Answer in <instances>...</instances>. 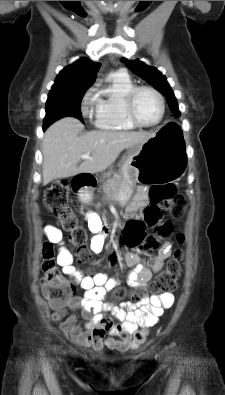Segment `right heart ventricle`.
<instances>
[{"mask_svg": "<svg viewBox=\"0 0 225 395\" xmlns=\"http://www.w3.org/2000/svg\"><path fill=\"white\" fill-rule=\"evenodd\" d=\"M134 87L130 77L124 72L110 73L104 84L96 91L95 126L102 130H133L132 124L124 111L126 94Z\"/></svg>", "mask_w": 225, "mask_h": 395, "instance_id": "1", "label": "right heart ventricle"}]
</instances>
